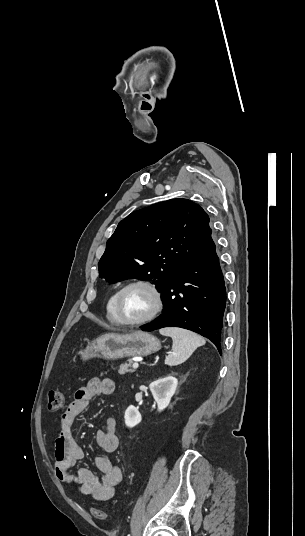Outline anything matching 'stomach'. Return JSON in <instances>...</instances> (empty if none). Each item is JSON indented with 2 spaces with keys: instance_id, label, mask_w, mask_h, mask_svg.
I'll return each mask as SVG.
<instances>
[{
  "instance_id": "1",
  "label": "stomach",
  "mask_w": 305,
  "mask_h": 536,
  "mask_svg": "<svg viewBox=\"0 0 305 536\" xmlns=\"http://www.w3.org/2000/svg\"><path fill=\"white\" fill-rule=\"evenodd\" d=\"M158 338L148 332H132V334H104L93 340L86 350L80 352L81 360L103 358V360H119V358H142L160 350Z\"/></svg>"
}]
</instances>
